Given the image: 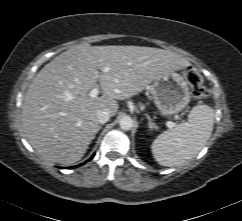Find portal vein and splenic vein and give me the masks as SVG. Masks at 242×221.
<instances>
[{
	"mask_svg": "<svg viewBox=\"0 0 242 221\" xmlns=\"http://www.w3.org/2000/svg\"><path fill=\"white\" fill-rule=\"evenodd\" d=\"M104 71H108V68H105ZM97 74H98V72H97ZM98 94H99V88H98V87L93 88V89L89 92V96L92 97V98L97 97ZM166 124H167V126H168L169 128H172V127L175 125V124H174L173 122H171V121H168Z\"/></svg>",
	"mask_w": 242,
	"mask_h": 221,
	"instance_id": "18ae733b",
	"label": "portal vein and splenic vein"
}]
</instances>
